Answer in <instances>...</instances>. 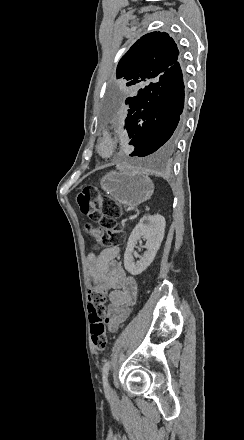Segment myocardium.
<instances>
[{
    "instance_id": "f54148a6",
    "label": "myocardium",
    "mask_w": 244,
    "mask_h": 440,
    "mask_svg": "<svg viewBox=\"0 0 244 440\" xmlns=\"http://www.w3.org/2000/svg\"><path fill=\"white\" fill-rule=\"evenodd\" d=\"M96 150L102 158L109 157L111 151V139L109 134L103 133L98 136Z\"/></svg>"
}]
</instances>
